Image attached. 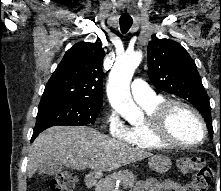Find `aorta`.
I'll use <instances>...</instances> for the list:
<instances>
[{
  "label": "aorta",
  "instance_id": "obj_1",
  "mask_svg": "<svg viewBox=\"0 0 221 191\" xmlns=\"http://www.w3.org/2000/svg\"><path fill=\"white\" fill-rule=\"evenodd\" d=\"M141 60L140 51L126 52L118 57L107 83V96L112 107L129 122L142 116L130 93V82Z\"/></svg>",
  "mask_w": 221,
  "mask_h": 191
}]
</instances>
